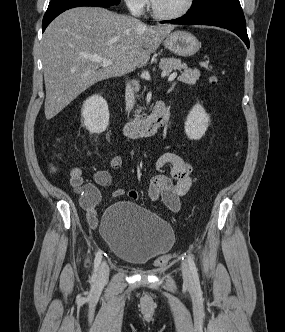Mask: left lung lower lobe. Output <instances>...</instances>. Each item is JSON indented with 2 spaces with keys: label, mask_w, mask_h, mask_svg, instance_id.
Listing matches in <instances>:
<instances>
[{
  "label": "left lung lower lobe",
  "mask_w": 285,
  "mask_h": 332,
  "mask_svg": "<svg viewBox=\"0 0 285 332\" xmlns=\"http://www.w3.org/2000/svg\"><path fill=\"white\" fill-rule=\"evenodd\" d=\"M182 25H212L228 29L237 34L249 48L245 17L241 5H227L198 13H188L177 20L163 21Z\"/></svg>",
  "instance_id": "left-lung-lower-lobe-1"
}]
</instances>
